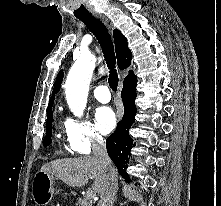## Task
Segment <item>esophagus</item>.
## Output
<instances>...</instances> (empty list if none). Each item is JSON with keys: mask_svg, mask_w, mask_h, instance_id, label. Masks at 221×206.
<instances>
[{"mask_svg": "<svg viewBox=\"0 0 221 206\" xmlns=\"http://www.w3.org/2000/svg\"><path fill=\"white\" fill-rule=\"evenodd\" d=\"M94 16H96L97 18L101 19L102 21H104L105 23H107V19L102 16V15H99V14H94Z\"/></svg>", "mask_w": 221, "mask_h": 206, "instance_id": "esophagus-1", "label": "esophagus"}]
</instances>
